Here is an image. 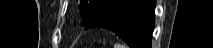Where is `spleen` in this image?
Returning a JSON list of instances; mask_svg holds the SVG:
<instances>
[{"instance_id": "obj_1", "label": "spleen", "mask_w": 213, "mask_h": 48, "mask_svg": "<svg viewBox=\"0 0 213 48\" xmlns=\"http://www.w3.org/2000/svg\"><path fill=\"white\" fill-rule=\"evenodd\" d=\"M114 48H127V47H126L125 45L119 43V42H116V43L114 44Z\"/></svg>"}]
</instances>
